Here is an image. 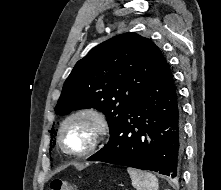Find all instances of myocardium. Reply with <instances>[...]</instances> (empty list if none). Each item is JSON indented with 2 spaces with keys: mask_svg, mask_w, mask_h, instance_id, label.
Here are the masks:
<instances>
[{
  "mask_svg": "<svg viewBox=\"0 0 221 190\" xmlns=\"http://www.w3.org/2000/svg\"><path fill=\"white\" fill-rule=\"evenodd\" d=\"M78 117H86L90 119L93 122L94 127H95V132H94L91 143L89 144L88 147L82 150L70 149L69 147L65 145L64 139H63V133L67 124L73 119L78 118ZM108 133H109V123H108V119L106 115L102 111L96 108L82 107V108H78L72 111L62 120L60 127H59V132H58V142H59L61 149L64 152L71 154L73 156L81 157V156H86L94 152L97 148H99L100 145L106 139Z\"/></svg>",
  "mask_w": 221,
  "mask_h": 190,
  "instance_id": "f54148a6",
  "label": "myocardium"
}]
</instances>
